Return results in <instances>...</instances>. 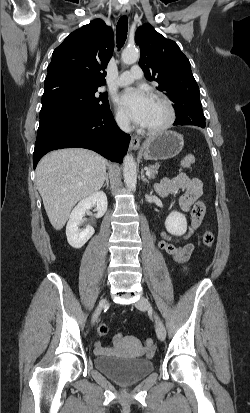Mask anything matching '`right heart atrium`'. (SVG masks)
I'll return each instance as SVG.
<instances>
[{"label": "right heart atrium", "instance_id": "right-heart-atrium-1", "mask_svg": "<svg viewBox=\"0 0 250 413\" xmlns=\"http://www.w3.org/2000/svg\"><path fill=\"white\" fill-rule=\"evenodd\" d=\"M115 121L119 128L123 130H128L130 128V122L127 116L120 110H117L115 113Z\"/></svg>", "mask_w": 250, "mask_h": 413}]
</instances>
